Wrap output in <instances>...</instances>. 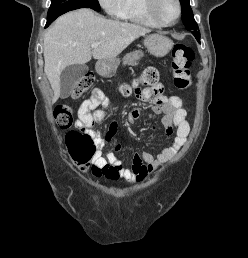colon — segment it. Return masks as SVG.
<instances>
[{"instance_id": "colon-1", "label": "colon", "mask_w": 248, "mask_h": 258, "mask_svg": "<svg viewBox=\"0 0 248 258\" xmlns=\"http://www.w3.org/2000/svg\"><path fill=\"white\" fill-rule=\"evenodd\" d=\"M194 59L192 48L185 44H176L173 48L172 61V78L176 88L187 90L191 84L190 66ZM94 82V76L91 73H86L76 83L72 91V97L78 98L82 93L87 91ZM159 83V73L157 69L147 68L134 83V87L148 86L156 87ZM132 91V86L125 84L121 87V92L124 95H129ZM54 119L58 128L69 129L73 124L72 110L68 105H58L54 111ZM66 145L71 157L80 166H89L93 163L92 171L95 175H107L117 178L118 172L115 169H100L95 163L96 146L93 138L85 131L73 129L68 131L66 135Z\"/></svg>"}]
</instances>
